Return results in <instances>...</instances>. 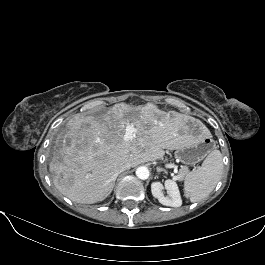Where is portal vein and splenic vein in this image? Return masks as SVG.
Segmentation results:
<instances>
[{"mask_svg":"<svg viewBox=\"0 0 265 265\" xmlns=\"http://www.w3.org/2000/svg\"><path fill=\"white\" fill-rule=\"evenodd\" d=\"M136 132L137 129L132 124L127 123L123 139L125 141H131L134 138ZM166 168H174V170L177 169V167L174 164H166Z\"/></svg>","mask_w":265,"mask_h":265,"instance_id":"18ae733b","label":"portal vein and splenic vein"}]
</instances>
